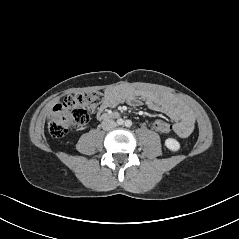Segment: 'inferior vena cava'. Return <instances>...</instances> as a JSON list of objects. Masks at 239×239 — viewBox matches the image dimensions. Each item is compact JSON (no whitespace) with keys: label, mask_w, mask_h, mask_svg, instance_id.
Masks as SVG:
<instances>
[{"label":"inferior vena cava","mask_w":239,"mask_h":239,"mask_svg":"<svg viewBox=\"0 0 239 239\" xmlns=\"http://www.w3.org/2000/svg\"><path fill=\"white\" fill-rule=\"evenodd\" d=\"M116 125V122L112 119H104L101 123L102 128L106 131L114 129Z\"/></svg>","instance_id":"1"}]
</instances>
